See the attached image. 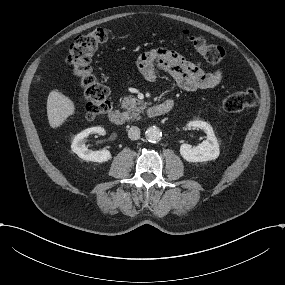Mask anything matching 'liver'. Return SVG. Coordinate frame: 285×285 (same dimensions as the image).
<instances>
[{
    "mask_svg": "<svg viewBox=\"0 0 285 285\" xmlns=\"http://www.w3.org/2000/svg\"><path fill=\"white\" fill-rule=\"evenodd\" d=\"M74 112V103L68 97L64 96L58 90H53L49 93L47 99V116L52 128L62 125Z\"/></svg>",
    "mask_w": 285,
    "mask_h": 285,
    "instance_id": "obj_1",
    "label": "liver"
}]
</instances>
